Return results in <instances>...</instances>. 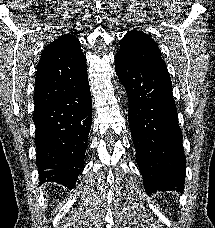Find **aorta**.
Returning a JSON list of instances; mask_svg holds the SVG:
<instances>
[{"instance_id":"aorta-1","label":"aorta","mask_w":215,"mask_h":228,"mask_svg":"<svg viewBox=\"0 0 215 228\" xmlns=\"http://www.w3.org/2000/svg\"><path fill=\"white\" fill-rule=\"evenodd\" d=\"M120 94H123V96H126V90H125V88H121ZM127 100H128V98H127Z\"/></svg>"}]
</instances>
